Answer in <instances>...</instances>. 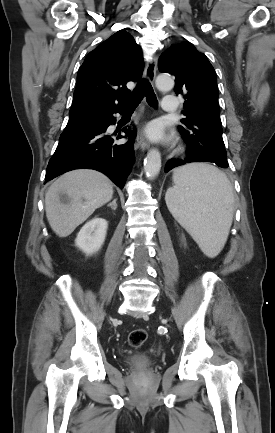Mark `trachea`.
I'll return each instance as SVG.
<instances>
[{
	"label": "trachea",
	"mask_w": 275,
	"mask_h": 433,
	"mask_svg": "<svg viewBox=\"0 0 275 433\" xmlns=\"http://www.w3.org/2000/svg\"><path fill=\"white\" fill-rule=\"evenodd\" d=\"M144 96H146L147 103L150 106H157V98L151 84L147 80H141L136 90L131 94L129 102L125 107V111H134Z\"/></svg>",
	"instance_id": "3493384b"
}]
</instances>
